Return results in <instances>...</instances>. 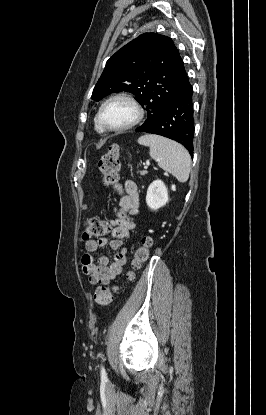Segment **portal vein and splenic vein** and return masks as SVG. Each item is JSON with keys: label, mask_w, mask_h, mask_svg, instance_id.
<instances>
[{"label": "portal vein and splenic vein", "mask_w": 266, "mask_h": 415, "mask_svg": "<svg viewBox=\"0 0 266 415\" xmlns=\"http://www.w3.org/2000/svg\"><path fill=\"white\" fill-rule=\"evenodd\" d=\"M148 165H149V163H147V166H145V169H147V168H148Z\"/></svg>", "instance_id": "1"}]
</instances>
